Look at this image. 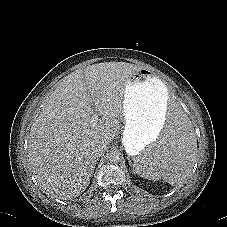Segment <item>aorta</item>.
Instances as JSON below:
<instances>
[{"instance_id": "obj_1", "label": "aorta", "mask_w": 227, "mask_h": 227, "mask_svg": "<svg viewBox=\"0 0 227 227\" xmlns=\"http://www.w3.org/2000/svg\"><path fill=\"white\" fill-rule=\"evenodd\" d=\"M109 161L111 163H118L120 161V155L118 152H112L109 155Z\"/></svg>"}]
</instances>
